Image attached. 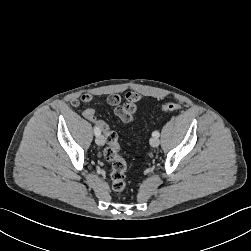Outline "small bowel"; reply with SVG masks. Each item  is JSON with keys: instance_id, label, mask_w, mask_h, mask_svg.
I'll return each mask as SVG.
<instances>
[{"instance_id": "obj_1", "label": "small bowel", "mask_w": 251, "mask_h": 251, "mask_svg": "<svg viewBox=\"0 0 251 251\" xmlns=\"http://www.w3.org/2000/svg\"><path fill=\"white\" fill-rule=\"evenodd\" d=\"M141 96L139 93L130 91L125 94V102L122 103V98L119 94H110L107 98V103L113 107L115 115L123 122L130 123L134 120L137 113V103L140 101ZM92 100V96L84 94L80 99H76L72 102V107L81 109L82 103H89ZM100 129V128H99Z\"/></svg>"}]
</instances>
